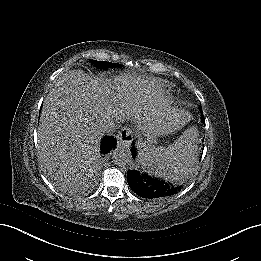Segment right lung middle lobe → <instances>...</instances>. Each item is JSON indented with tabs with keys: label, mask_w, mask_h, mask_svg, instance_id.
Masks as SVG:
<instances>
[{
	"label": "right lung middle lobe",
	"mask_w": 261,
	"mask_h": 261,
	"mask_svg": "<svg viewBox=\"0 0 261 261\" xmlns=\"http://www.w3.org/2000/svg\"><path fill=\"white\" fill-rule=\"evenodd\" d=\"M94 63H95L96 65L102 67V68H106V67H110V66H114V65H115L114 63H110V62L95 61V60H94ZM97 167H98V164L96 163V164L93 166V168H92V170H91V173L95 172L96 169H97Z\"/></svg>",
	"instance_id": "obj_1"
}]
</instances>
